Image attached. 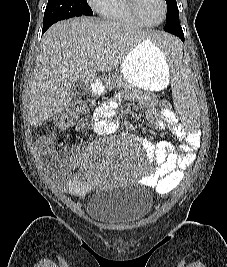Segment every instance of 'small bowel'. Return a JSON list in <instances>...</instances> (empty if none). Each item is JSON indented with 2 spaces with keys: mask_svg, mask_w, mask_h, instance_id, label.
I'll return each mask as SVG.
<instances>
[{
  "mask_svg": "<svg viewBox=\"0 0 227 267\" xmlns=\"http://www.w3.org/2000/svg\"><path fill=\"white\" fill-rule=\"evenodd\" d=\"M114 113L115 104L112 101H105L95 108L91 124L86 122L73 129L80 130L83 126H89L91 131L99 136L109 135L117 129L116 123L112 120ZM149 122L157 129L176 127L175 134L181 146L180 150H176L167 141L152 143L146 139L142 140L143 146L155 165V170L142 178L143 183L158 193H167L179 185L185 168L194 161L200 147V137L197 133H187L177 129L178 118L170 109L151 111ZM40 151L43 156L51 157L53 154L51 140H42ZM65 181L66 190L75 189L79 194L87 192L89 178L84 169L77 168L72 176L65 178Z\"/></svg>",
  "mask_w": 227,
  "mask_h": 267,
  "instance_id": "1",
  "label": "small bowel"
}]
</instances>
